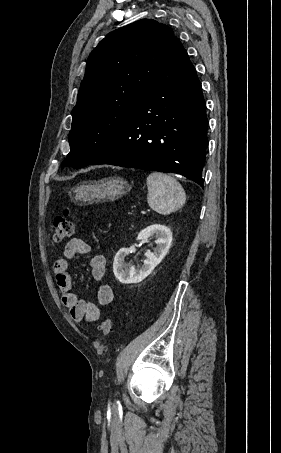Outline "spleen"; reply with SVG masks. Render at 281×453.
<instances>
[{"label":"spleen","instance_id":"1","mask_svg":"<svg viewBox=\"0 0 281 453\" xmlns=\"http://www.w3.org/2000/svg\"><path fill=\"white\" fill-rule=\"evenodd\" d=\"M147 186L148 204L159 214H170L181 208L185 202V196L181 194L180 182L169 174L151 172L147 176Z\"/></svg>","mask_w":281,"mask_h":453}]
</instances>
